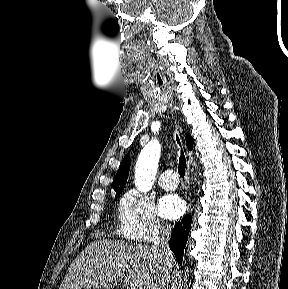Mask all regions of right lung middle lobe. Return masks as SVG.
Returning <instances> with one entry per match:
<instances>
[{
    "mask_svg": "<svg viewBox=\"0 0 288 289\" xmlns=\"http://www.w3.org/2000/svg\"><path fill=\"white\" fill-rule=\"evenodd\" d=\"M121 191H116V193H120Z\"/></svg>",
    "mask_w": 288,
    "mask_h": 289,
    "instance_id": "dd1d6c3e",
    "label": "right lung middle lobe"
}]
</instances>
